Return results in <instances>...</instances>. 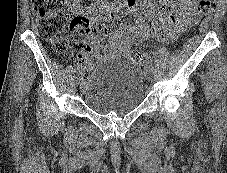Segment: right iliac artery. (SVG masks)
Listing matches in <instances>:
<instances>
[{
    "instance_id": "82829eb1",
    "label": "right iliac artery",
    "mask_w": 227,
    "mask_h": 173,
    "mask_svg": "<svg viewBox=\"0 0 227 173\" xmlns=\"http://www.w3.org/2000/svg\"><path fill=\"white\" fill-rule=\"evenodd\" d=\"M81 69H82V65L77 64L76 67H75V72H80Z\"/></svg>"
}]
</instances>
